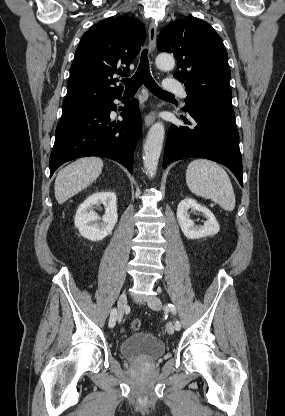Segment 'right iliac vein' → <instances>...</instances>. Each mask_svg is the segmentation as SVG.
<instances>
[{
  "mask_svg": "<svg viewBox=\"0 0 285 416\" xmlns=\"http://www.w3.org/2000/svg\"><path fill=\"white\" fill-rule=\"evenodd\" d=\"M126 305H127V295L124 292L119 296L118 301H117V307H118L117 319H118L119 322L123 318L124 310H125Z\"/></svg>",
  "mask_w": 285,
  "mask_h": 416,
  "instance_id": "right-iliac-vein-1",
  "label": "right iliac vein"
}]
</instances>
